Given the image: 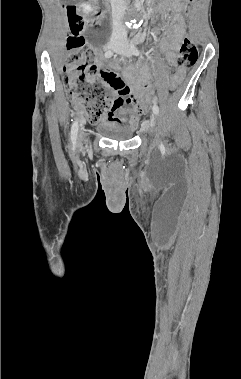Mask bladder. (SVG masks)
I'll return each mask as SVG.
<instances>
[{
    "label": "bladder",
    "instance_id": "bladder-1",
    "mask_svg": "<svg viewBox=\"0 0 241 379\" xmlns=\"http://www.w3.org/2000/svg\"><path fill=\"white\" fill-rule=\"evenodd\" d=\"M99 130L105 136L119 141L131 139L134 134L132 128L113 120L103 122Z\"/></svg>",
    "mask_w": 241,
    "mask_h": 379
}]
</instances>
